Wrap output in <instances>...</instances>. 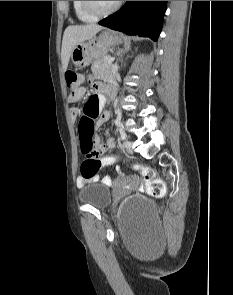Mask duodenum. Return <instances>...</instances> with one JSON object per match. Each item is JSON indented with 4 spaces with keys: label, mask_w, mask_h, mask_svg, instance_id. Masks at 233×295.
<instances>
[{
    "label": "duodenum",
    "mask_w": 233,
    "mask_h": 295,
    "mask_svg": "<svg viewBox=\"0 0 233 295\" xmlns=\"http://www.w3.org/2000/svg\"><path fill=\"white\" fill-rule=\"evenodd\" d=\"M106 93L110 94V90L106 91Z\"/></svg>",
    "instance_id": "duodenum-1"
}]
</instances>
